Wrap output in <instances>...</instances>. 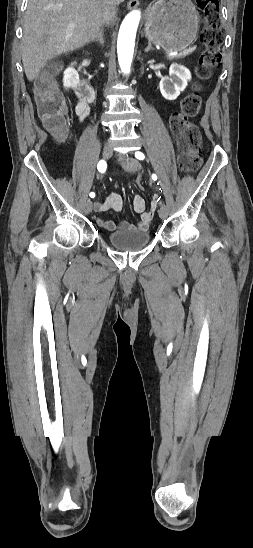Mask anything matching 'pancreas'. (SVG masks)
<instances>
[{
  "mask_svg": "<svg viewBox=\"0 0 253 548\" xmlns=\"http://www.w3.org/2000/svg\"><path fill=\"white\" fill-rule=\"evenodd\" d=\"M191 52H192L191 50H184V51L180 52L179 54H177L176 56H167V58H169V59H180V58L186 57Z\"/></svg>",
  "mask_w": 253,
  "mask_h": 548,
  "instance_id": "1",
  "label": "pancreas"
}]
</instances>
